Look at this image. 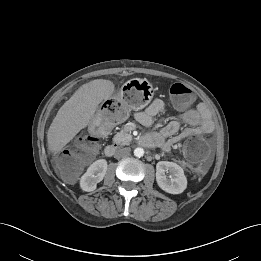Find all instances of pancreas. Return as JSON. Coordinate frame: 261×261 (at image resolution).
I'll return each mask as SVG.
<instances>
[{
    "label": "pancreas",
    "mask_w": 261,
    "mask_h": 261,
    "mask_svg": "<svg viewBox=\"0 0 261 261\" xmlns=\"http://www.w3.org/2000/svg\"><path fill=\"white\" fill-rule=\"evenodd\" d=\"M113 141L118 145H129L132 141V135L128 132V129L124 127L120 132L116 133Z\"/></svg>",
    "instance_id": "obj_1"
}]
</instances>
